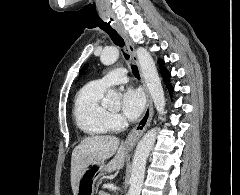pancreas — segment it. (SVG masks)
Segmentation results:
<instances>
[{
  "mask_svg": "<svg viewBox=\"0 0 240 195\" xmlns=\"http://www.w3.org/2000/svg\"><path fill=\"white\" fill-rule=\"evenodd\" d=\"M99 195H109V193H106V191H100Z\"/></svg>",
  "mask_w": 240,
  "mask_h": 195,
  "instance_id": "obj_1",
  "label": "pancreas"
}]
</instances>
